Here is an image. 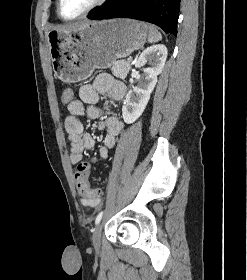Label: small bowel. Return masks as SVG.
<instances>
[{
  "instance_id": "1",
  "label": "small bowel",
  "mask_w": 247,
  "mask_h": 280,
  "mask_svg": "<svg viewBox=\"0 0 247 280\" xmlns=\"http://www.w3.org/2000/svg\"><path fill=\"white\" fill-rule=\"evenodd\" d=\"M126 93V86L107 73L99 74L93 83L84 84L79 89V99L68 105L69 115L65 118L64 127L68 134L71 149L69 159L72 164L82 163L83 152L95 147L94 138L84 132L81 117L98 120L97 128L106 133L103 145L99 150L102 160L108 156V151L113 149L117 137L123 129L122 121L113 115L105 116L102 108L97 103L100 95H106L112 101H120ZM86 206L95 207L99 204V198L88 199L82 197Z\"/></svg>"
}]
</instances>
